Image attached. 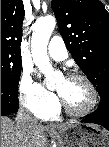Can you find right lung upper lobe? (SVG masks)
I'll use <instances>...</instances> for the list:
<instances>
[{
    "instance_id": "right-lung-upper-lobe-1",
    "label": "right lung upper lobe",
    "mask_w": 109,
    "mask_h": 147,
    "mask_svg": "<svg viewBox=\"0 0 109 147\" xmlns=\"http://www.w3.org/2000/svg\"><path fill=\"white\" fill-rule=\"evenodd\" d=\"M24 6L22 0H1V48L21 53Z\"/></svg>"
}]
</instances>
